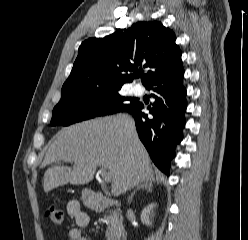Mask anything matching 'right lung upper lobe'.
I'll return each instance as SVG.
<instances>
[{
    "instance_id": "obj_1",
    "label": "right lung upper lobe",
    "mask_w": 248,
    "mask_h": 240,
    "mask_svg": "<svg viewBox=\"0 0 248 240\" xmlns=\"http://www.w3.org/2000/svg\"><path fill=\"white\" fill-rule=\"evenodd\" d=\"M175 33L160 21L137 22L124 32L82 42L63 89H121L149 67L143 84L169 78L183 68ZM134 72L127 74V72Z\"/></svg>"
}]
</instances>
